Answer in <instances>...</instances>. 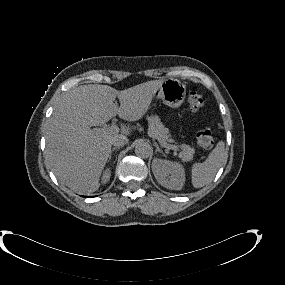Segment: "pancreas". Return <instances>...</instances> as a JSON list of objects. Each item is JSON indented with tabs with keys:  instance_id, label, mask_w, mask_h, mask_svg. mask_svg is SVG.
Listing matches in <instances>:
<instances>
[{
	"instance_id": "cf45deb5",
	"label": "pancreas",
	"mask_w": 285,
	"mask_h": 285,
	"mask_svg": "<svg viewBox=\"0 0 285 285\" xmlns=\"http://www.w3.org/2000/svg\"><path fill=\"white\" fill-rule=\"evenodd\" d=\"M147 120L149 122L148 134L151 137L163 142H173V140L170 138L169 130L160 122L157 115L148 116ZM180 148L181 152L179 155L182 160L191 161L195 153L194 149L185 144L181 145Z\"/></svg>"
}]
</instances>
